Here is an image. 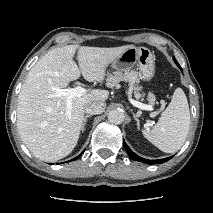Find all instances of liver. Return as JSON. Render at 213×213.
Segmentation results:
<instances>
[{"mask_svg":"<svg viewBox=\"0 0 213 213\" xmlns=\"http://www.w3.org/2000/svg\"><path fill=\"white\" fill-rule=\"evenodd\" d=\"M130 47L67 45L50 50L31 68L18 97L17 128L36 158L52 162L68 156L78 142L85 105L109 96L107 90L93 89L74 97L68 110L66 97H56L52 88H66L80 74L89 82H102L108 65ZM76 51L79 67L73 60Z\"/></svg>","mask_w":213,"mask_h":213,"instance_id":"obj_1","label":"liver"}]
</instances>
